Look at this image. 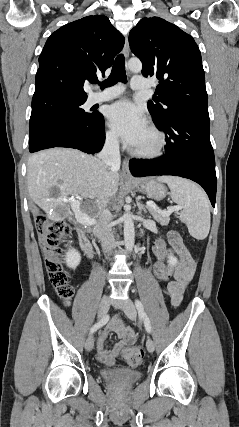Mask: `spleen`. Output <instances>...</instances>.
I'll return each instance as SVG.
<instances>
[{
	"instance_id": "1",
	"label": "spleen",
	"mask_w": 239,
	"mask_h": 427,
	"mask_svg": "<svg viewBox=\"0 0 239 427\" xmlns=\"http://www.w3.org/2000/svg\"><path fill=\"white\" fill-rule=\"evenodd\" d=\"M171 190V198L181 209L180 220L197 240L205 239L210 230V205L205 192L190 180L175 176H160Z\"/></svg>"
}]
</instances>
